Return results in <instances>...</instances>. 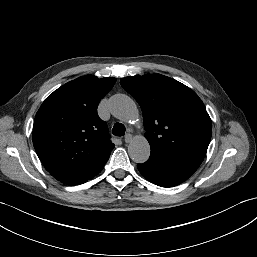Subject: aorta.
Wrapping results in <instances>:
<instances>
[{"instance_id":"1","label":"aorta","mask_w":257,"mask_h":257,"mask_svg":"<svg viewBox=\"0 0 257 257\" xmlns=\"http://www.w3.org/2000/svg\"><path fill=\"white\" fill-rule=\"evenodd\" d=\"M109 109L113 116L124 122L130 123L138 117V109L135 102L127 95L116 94L109 102ZM130 158L136 163H144L150 156V145L146 138L136 137L129 146Z\"/></svg>"}]
</instances>
